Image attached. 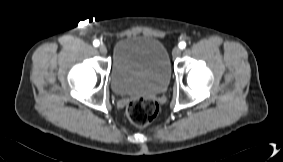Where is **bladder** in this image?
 <instances>
[{
    "mask_svg": "<svg viewBox=\"0 0 283 162\" xmlns=\"http://www.w3.org/2000/svg\"><path fill=\"white\" fill-rule=\"evenodd\" d=\"M170 77L169 54L158 39L133 35L115 43L110 72L115 94H159L166 90Z\"/></svg>",
    "mask_w": 283,
    "mask_h": 162,
    "instance_id": "bladder-1",
    "label": "bladder"
}]
</instances>
